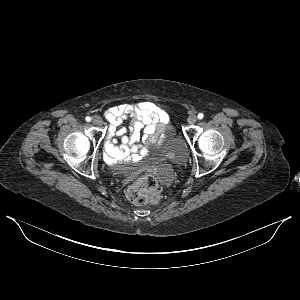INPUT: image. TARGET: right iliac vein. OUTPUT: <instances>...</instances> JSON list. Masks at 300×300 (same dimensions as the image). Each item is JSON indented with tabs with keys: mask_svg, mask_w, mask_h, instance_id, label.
<instances>
[{
	"mask_svg": "<svg viewBox=\"0 0 300 300\" xmlns=\"http://www.w3.org/2000/svg\"><path fill=\"white\" fill-rule=\"evenodd\" d=\"M92 123L94 124V125H101L102 124V119H101V117L100 116H97V115H95V116H93V118H92Z\"/></svg>",
	"mask_w": 300,
	"mask_h": 300,
	"instance_id": "obj_1",
	"label": "right iliac vein"
}]
</instances>
